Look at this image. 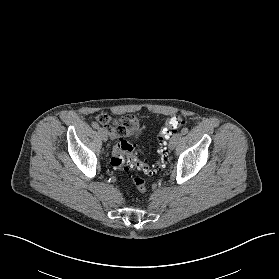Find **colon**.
<instances>
[{"mask_svg":"<svg viewBox=\"0 0 279 279\" xmlns=\"http://www.w3.org/2000/svg\"><path fill=\"white\" fill-rule=\"evenodd\" d=\"M183 125L184 120L179 116L168 118L164 122L157 135L159 147L157 150L158 161L155 165H149L143 162L140 159L139 154L136 152L134 144L124 139H119L115 143L112 152L111 165L114 169L122 172H127L128 166H130L141 170L147 175H154L161 170L166 160L167 153L164 147L165 136L174 133ZM133 183L139 191L144 192L146 190V184L143 179L134 178Z\"/></svg>","mask_w":279,"mask_h":279,"instance_id":"colon-1","label":"colon"}]
</instances>
